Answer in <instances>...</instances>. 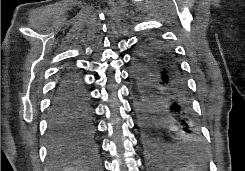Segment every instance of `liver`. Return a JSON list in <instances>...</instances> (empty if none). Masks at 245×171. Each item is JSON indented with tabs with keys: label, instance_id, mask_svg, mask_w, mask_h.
Instances as JSON below:
<instances>
[{
	"label": "liver",
	"instance_id": "liver-1",
	"mask_svg": "<svg viewBox=\"0 0 245 171\" xmlns=\"http://www.w3.org/2000/svg\"><path fill=\"white\" fill-rule=\"evenodd\" d=\"M63 171H87V170H83V169L76 168V167H68V168H65Z\"/></svg>",
	"mask_w": 245,
	"mask_h": 171
}]
</instances>
